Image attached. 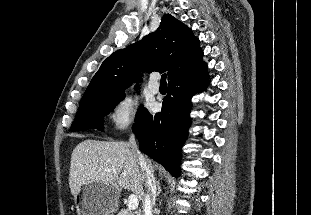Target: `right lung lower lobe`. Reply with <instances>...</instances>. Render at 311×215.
I'll return each mask as SVG.
<instances>
[{
    "label": "right lung lower lobe",
    "mask_w": 311,
    "mask_h": 215,
    "mask_svg": "<svg viewBox=\"0 0 311 215\" xmlns=\"http://www.w3.org/2000/svg\"><path fill=\"white\" fill-rule=\"evenodd\" d=\"M203 61L196 68L176 76L168 83L162 112L148 111L133 125L140 150L163 165L173 176L180 174L181 147L190 126L191 97L205 90L208 79Z\"/></svg>",
    "instance_id": "obj_1"
}]
</instances>
